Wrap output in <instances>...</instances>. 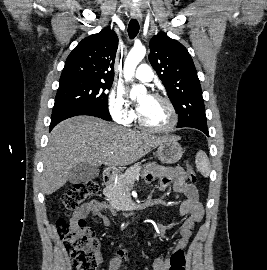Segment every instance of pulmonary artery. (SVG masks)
Returning a JSON list of instances; mask_svg holds the SVG:
<instances>
[{"label": "pulmonary artery", "instance_id": "1", "mask_svg": "<svg viewBox=\"0 0 267 270\" xmlns=\"http://www.w3.org/2000/svg\"><path fill=\"white\" fill-rule=\"evenodd\" d=\"M135 77L141 81H151L154 77L153 70L147 64H141L135 71Z\"/></svg>", "mask_w": 267, "mask_h": 270}]
</instances>
